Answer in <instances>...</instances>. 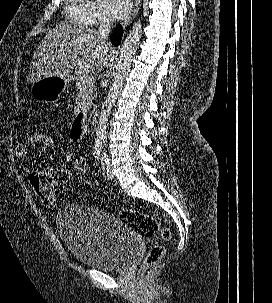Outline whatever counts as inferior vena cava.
Returning a JSON list of instances; mask_svg holds the SVG:
<instances>
[{
    "instance_id": "1",
    "label": "inferior vena cava",
    "mask_w": 272,
    "mask_h": 303,
    "mask_svg": "<svg viewBox=\"0 0 272 303\" xmlns=\"http://www.w3.org/2000/svg\"><path fill=\"white\" fill-rule=\"evenodd\" d=\"M110 29H111V19L107 16L102 17L100 19V25H99V28H98V32L104 40L108 39ZM103 158L104 159L108 158V155H107L106 151L103 152Z\"/></svg>"
}]
</instances>
